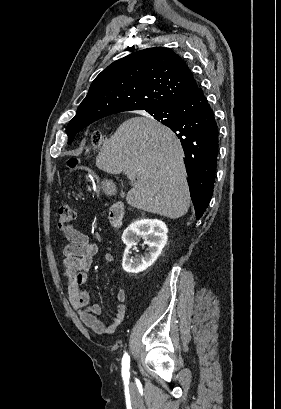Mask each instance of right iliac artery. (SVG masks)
Returning a JSON list of instances; mask_svg holds the SVG:
<instances>
[{
  "label": "right iliac artery",
  "instance_id": "right-iliac-artery-1",
  "mask_svg": "<svg viewBox=\"0 0 281 409\" xmlns=\"http://www.w3.org/2000/svg\"><path fill=\"white\" fill-rule=\"evenodd\" d=\"M130 358L125 354L122 359V375L124 378L129 377Z\"/></svg>",
  "mask_w": 281,
  "mask_h": 409
}]
</instances>
